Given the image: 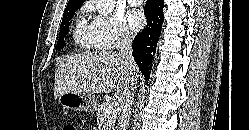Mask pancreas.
I'll list each match as a JSON object with an SVG mask.
<instances>
[{"label": "pancreas", "mask_w": 249, "mask_h": 130, "mask_svg": "<svg viewBox=\"0 0 249 130\" xmlns=\"http://www.w3.org/2000/svg\"><path fill=\"white\" fill-rule=\"evenodd\" d=\"M108 107V104H103L96 108V119L99 130H114L116 116H104V113Z\"/></svg>", "instance_id": "cf45deb5"}]
</instances>
